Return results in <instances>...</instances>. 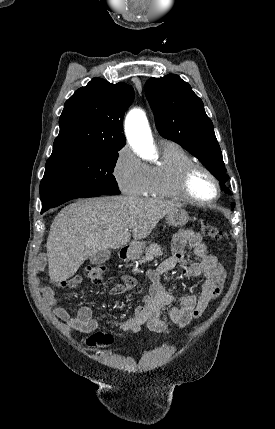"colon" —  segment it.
Wrapping results in <instances>:
<instances>
[{
	"label": "colon",
	"instance_id": "colon-1",
	"mask_svg": "<svg viewBox=\"0 0 275 429\" xmlns=\"http://www.w3.org/2000/svg\"><path fill=\"white\" fill-rule=\"evenodd\" d=\"M201 233L212 240H219L221 238V231L219 228L207 221L200 224ZM108 268L105 265H88L84 268V276L93 283H100ZM112 342V337L105 333H96L85 340V344L89 348L105 347Z\"/></svg>",
	"mask_w": 275,
	"mask_h": 429
}]
</instances>
